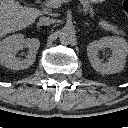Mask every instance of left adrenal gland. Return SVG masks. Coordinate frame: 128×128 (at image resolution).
<instances>
[{"mask_svg":"<svg viewBox=\"0 0 128 128\" xmlns=\"http://www.w3.org/2000/svg\"><path fill=\"white\" fill-rule=\"evenodd\" d=\"M85 26H89V23H84Z\"/></svg>","mask_w":128,"mask_h":128,"instance_id":"left-adrenal-gland-1","label":"left adrenal gland"}]
</instances>
